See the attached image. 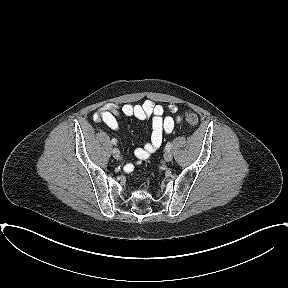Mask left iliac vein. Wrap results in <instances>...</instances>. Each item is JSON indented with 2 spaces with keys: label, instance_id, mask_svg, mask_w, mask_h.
I'll use <instances>...</instances> for the list:
<instances>
[{
  "label": "left iliac vein",
  "instance_id": "4c4485c4",
  "mask_svg": "<svg viewBox=\"0 0 288 288\" xmlns=\"http://www.w3.org/2000/svg\"><path fill=\"white\" fill-rule=\"evenodd\" d=\"M173 158V155L170 151H166L164 154V159L166 162H170Z\"/></svg>",
  "mask_w": 288,
  "mask_h": 288
}]
</instances>
